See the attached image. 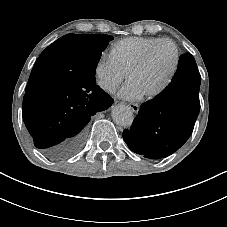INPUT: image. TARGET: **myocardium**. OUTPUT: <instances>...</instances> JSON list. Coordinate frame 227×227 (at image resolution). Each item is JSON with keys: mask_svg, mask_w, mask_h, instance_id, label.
<instances>
[{"mask_svg": "<svg viewBox=\"0 0 227 227\" xmlns=\"http://www.w3.org/2000/svg\"><path fill=\"white\" fill-rule=\"evenodd\" d=\"M160 43H168L169 45H171V47L173 48L174 51V60L172 63V66L170 68V71L166 77V79L164 80V82L157 88L155 89L153 92L149 93L148 95H146L145 97L147 99H154L156 97H158L159 95H161L171 84L177 70L179 67V63H180V50L178 45L176 44L175 41H173L172 39L169 38H163V39H159L157 41H155L154 43H152L150 46H148L146 48V50L144 51V53L142 54V56L135 62V64L131 67V69L129 70L128 74H127V80H129V78L137 73L138 71H140L147 63L149 56L151 54V52L153 51V49Z\"/></svg>", "mask_w": 227, "mask_h": 227, "instance_id": "1", "label": "myocardium"}]
</instances>
